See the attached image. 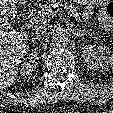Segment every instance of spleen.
Here are the masks:
<instances>
[{
	"label": "spleen",
	"instance_id": "1",
	"mask_svg": "<svg viewBox=\"0 0 113 113\" xmlns=\"http://www.w3.org/2000/svg\"><path fill=\"white\" fill-rule=\"evenodd\" d=\"M110 64H111V67H112V70H113V55H112V58L110 60Z\"/></svg>",
	"mask_w": 113,
	"mask_h": 113
}]
</instances>
